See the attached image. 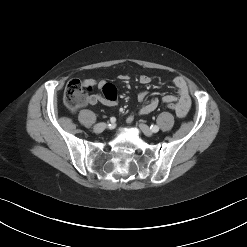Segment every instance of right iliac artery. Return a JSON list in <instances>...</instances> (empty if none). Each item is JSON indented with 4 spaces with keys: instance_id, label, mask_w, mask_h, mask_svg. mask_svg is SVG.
<instances>
[{
    "instance_id": "right-iliac-artery-1",
    "label": "right iliac artery",
    "mask_w": 247,
    "mask_h": 247,
    "mask_svg": "<svg viewBox=\"0 0 247 247\" xmlns=\"http://www.w3.org/2000/svg\"><path fill=\"white\" fill-rule=\"evenodd\" d=\"M116 121V119L114 117L110 118V122L114 123Z\"/></svg>"
}]
</instances>
